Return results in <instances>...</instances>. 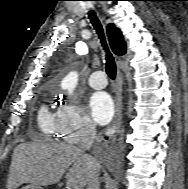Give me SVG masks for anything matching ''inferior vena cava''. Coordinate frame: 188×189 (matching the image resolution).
Wrapping results in <instances>:
<instances>
[{"label": "inferior vena cava", "mask_w": 188, "mask_h": 189, "mask_svg": "<svg viewBox=\"0 0 188 189\" xmlns=\"http://www.w3.org/2000/svg\"><path fill=\"white\" fill-rule=\"evenodd\" d=\"M96 137V128L95 125L89 123L82 131H81V143L80 148L84 150H90L94 140ZM89 159L93 164H96L97 160L89 156ZM86 189H100L99 188V171H95L92 177L89 179Z\"/></svg>", "instance_id": "obj_1"}]
</instances>
